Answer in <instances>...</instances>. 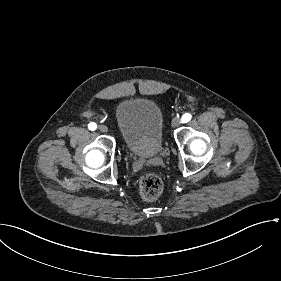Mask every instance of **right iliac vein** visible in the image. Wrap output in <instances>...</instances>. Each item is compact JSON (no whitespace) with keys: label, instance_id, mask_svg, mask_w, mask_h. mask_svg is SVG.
<instances>
[{"label":"right iliac vein","instance_id":"right-iliac-vein-1","mask_svg":"<svg viewBox=\"0 0 281 281\" xmlns=\"http://www.w3.org/2000/svg\"><path fill=\"white\" fill-rule=\"evenodd\" d=\"M98 129H99L101 132H103V133L108 132V127L105 126V125H99V126H98Z\"/></svg>","mask_w":281,"mask_h":281}]
</instances>
